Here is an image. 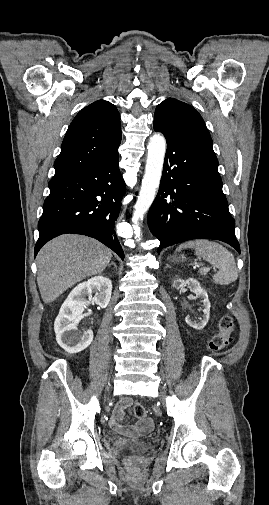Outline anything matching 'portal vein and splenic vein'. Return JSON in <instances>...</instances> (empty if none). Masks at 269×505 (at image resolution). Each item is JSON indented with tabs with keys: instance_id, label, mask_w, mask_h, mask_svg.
Listing matches in <instances>:
<instances>
[{
	"instance_id": "obj_1",
	"label": "portal vein and splenic vein",
	"mask_w": 269,
	"mask_h": 505,
	"mask_svg": "<svg viewBox=\"0 0 269 505\" xmlns=\"http://www.w3.org/2000/svg\"><path fill=\"white\" fill-rule=\"evenodd\" d=\"M203 263H200V264H196V267H203Z\"/></svg>"
}]
</instances>
